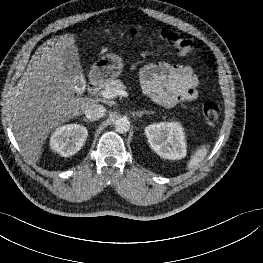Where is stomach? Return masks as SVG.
Segmentation results:
<instances>
[{
    "label": "stomach",
    "instance_id": "1",
    "mask_svg": "<svg viewBox=\"0 0 263 263\" xmlns=\"http://www.w3.org/2000/svg\"><path fill=\"white\" fill-rule=\"evenodd\" d=\"M122 69V59L117 55L108 54L93 64L89 78L92 82L103 83L111 79H116L121 74Z\"/></svg>",
    "mask_w": 263,
    "mask_h": 263
}]
</instances>
